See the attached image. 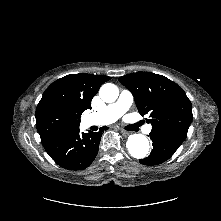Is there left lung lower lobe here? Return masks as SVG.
Here are the masks:
<instances>
[{"instance_id":"0a47b994","label":"left lung lower lobe","mask_w":221,"mask_h":221,"mask_svg":"<svg viewBox=\"0 0 221 221\" xmlns=\"http://www.w3.org/2000/svg\"><path fill=\"white\" fill-rule=\"evenodd\" d=\"M149 136L153 142V149L148 157L139 160L141 164L149 166L168 160L184 141L175 135L159 130H152Z\"/></svg>"}]
</instances>
